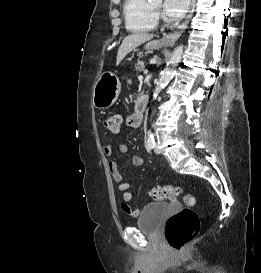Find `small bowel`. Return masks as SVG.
Here are the masks:
<instances>
[{"instance_id":"obj_1","label":"small bowel","mask_w":261,"mask_h":273,"mask_svg":"<svg viewBox=\"0 0 261 273\" xmlns=\"http://www.w3.org/2000/svg\"><path fill=\"white\" fill-rule=\"evenodd\" d=\"M127 125L130 127L133 126V115H130L127 118ZM127 146L125 144H119L118 145V152L120 154H124L127 152ZM104 153L106 156L110 157L114 153V147L112 144H108L104 147ZM144 163V159L142 156L134 155L131 158V164L135 167L142 166ZM109 171L111 173V176L113 180L118 183L117 190L122 193V199H121V208L122 210L131 215V216H138L139 210L134 209L130 206V200L132 198V192L130 191L131 183L130 182H123V175L119 170L118 163L116 160H111L108 163Z\"/></svg>"}]
</instances>
